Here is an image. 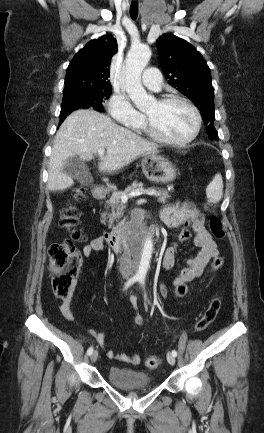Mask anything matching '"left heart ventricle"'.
I'll use <instances>...</instances> for the list:
<instances>
[{"mask_svg": "<svg viewBox=\"0 0 264 433\" xmlns=\"http://www.w3.org/2000/svg\"><path fill=\"white\" fill-rule=\"evenodd\" d=\"M144 112L164 135L174 140L185 139L195 126L193 113L181 103L160 105L156 101Z\"/></svg>", "mask_w": 264, "mask_h": 433, "instance_id": "left-heart-ventricle-1", "label": "left heart ventricle"}]
</instances>
